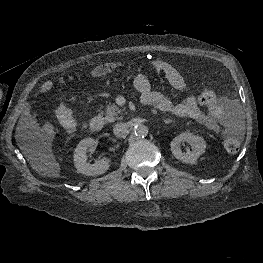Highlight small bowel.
<instances>
[{"label": "small bowel", "instance_id": "small-bowel-1", "mask_svg": "<svg viewBox=\"0 0 263 263\" xmlns=\"http://www.w3.org/2000/svg\"><path fill=\"white\" fill-rule=\"evenodd\" d=\"M115 63H108L96 67L91 77H101L112 70L116 69ZM148 71L163 74L173 88L178 91L188 93L187 85L181 74L169 63L162 60H153L148 64ZM54 83L52 80L45 81L40 92L45 93L52 89ZM133 85L135 89L141 94V102L146 105H154L159 110L164 112H171L179 117H189L202 124L207 129L217 131L219 126L216 119L211 112L205 113L201 110L200 104L201 99L198 97L188 94L187 97L178 103H173L165 95L152 90L151 84L147 78L145 71H140L134 78ZM59 104L58 106H61ZM57 106V107H58ZM56 107V108H57ZM31 117V112L28 111L26 114ZM50 133V131H48Z\"/></svg>", "mask_w": 263, "mask_h": 263}]
</instances>
